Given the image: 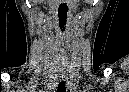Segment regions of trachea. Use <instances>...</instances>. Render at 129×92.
Returning a JSON list of instances; mask_svg holds the SVG:
<instances>
[{
  "instance_id": "trachea-1",
  "label": "trachea",
  "mask_w": 129,
  "mask_h": 92,
  "mask_svg": "<svg viewBox=\"0 0 129 92\" xmlns=\"http://www.w3.org/2000/svg\"><path fill=\"white\" fill-rule=\"evenodd\" d=\"M57 92H66L64 81L59 82L58 87H57Z\"/></svg>"
}]
</instances>
